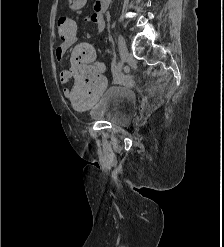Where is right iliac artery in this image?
<instances>
[{
    "mask_svg": "<svg viewBox=\"0 0 224 247\" xmlns=\"http://www.w3.org/2000/svg\"><path fill=\"white\" fill-rule=\"evenodd\" d=\"M121 69H122V62H119V63L116 65V67L114 68L113 73H114L115 75H118V74L120 73Z\"/></svg>",
    "mask_w": 224,
    "mask_h": 247,
    "instance_id": "right-iliac-artery-1",
    "label": "right iliac artery"
}]
</instances>
